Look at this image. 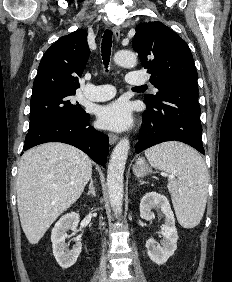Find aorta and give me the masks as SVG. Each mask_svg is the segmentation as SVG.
<instances>
[{
  "mask_svg": "<svg viewBox=\"0 0 232 282\" xmlns=\"http://www.w3.org/2000/svg\"><path fill=\"white\" fill-rule=\"evenodd\" d=\"M114 62L122 67H133L137 57L132 51L121 50L115 53ZM130 150L128 138H122L115 146L108 165L107 184L109 200L113 212L120 215L123 204V174Z\"/></svg>",
  "mask_w": 232,
  "mask_h": 282,
  "instance_id": "obj_1",
  "label": "aorta"
}]
</instances>
